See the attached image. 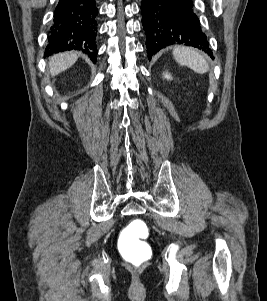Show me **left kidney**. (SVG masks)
I'll return each instance as SVG.
<instances>
[{"label": "left kidney", "mask_w": 267, "mask_h": 301, "mask_svg": "<svg viewBox=\"0 0 267 301\" xmlns=\"http://www.w3.org/2000/svg\"><path fill=\"white\" fill-rule=\"evenodd\" d=\"M164 78H166L167 80H171L172 79L171 75L168 74V73L164 74Z\"/></svg>", "instance_id": "1"}]
</instances>
